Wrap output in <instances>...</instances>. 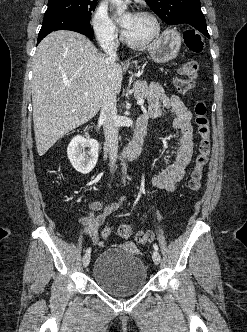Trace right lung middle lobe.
<instances>
[{
	"mask_svg": "<svg viewBox=\"0 0 247 332\" xmlns=\"http://www.w3.org/2000/svg\"><path fill=\"white\" fill-rule=\"evenodd\" d=\"M97 0H48V8L44 16L74 15L90 20Z\"/></svg>",
	"mask_w": 247,
	"mask_h": 332,
	"instance_id": "obj_1",
	"label": "right lung middle lobe"
}]
</instances>
